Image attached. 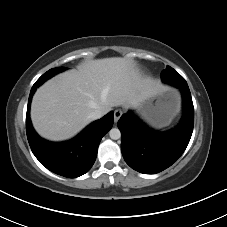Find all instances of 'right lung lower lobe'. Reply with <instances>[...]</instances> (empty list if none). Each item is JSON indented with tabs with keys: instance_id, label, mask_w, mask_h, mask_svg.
Masks as SVG:
<instances>
[{
	"instance_id": "98d812e1",
	"label": "right lung lower lobe",
	"mask_w": 227,
	"mask_h": 227,
	"mask_svg": "<svg viewBox=\"0 0 227 227\" xmlns=\"http://www.w3.org/2000/svg\"><path fill=\"white\" fill-rule=\"evenodd\" d=\"M39 87L33 85L27 106L26 133L29 145L39 162L50 171L68 178H76L93 166L99 143L113 125V112L86 127L72 140L53 143L39 137L30 120V103Z\"/></svg>"
}]
</instances>
